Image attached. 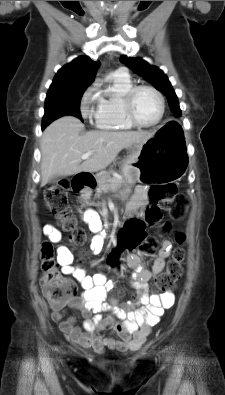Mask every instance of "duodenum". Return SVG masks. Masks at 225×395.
<instances>
[{"label": "duodenum", "mask_w": 225, "mask_h": 395, "mask_svg": "<svg viewBox=\"0 0 225 395\" xmlns=\"http://www.w3.org/2000/svg\"><path fill=\"white\" fill-rule=\"evenodd\" d=\"M94 185L90 175L79 173L74 177V186L77 191H83L92 188Z\"/></svg>", "instance_id": "obj_1"}]
</instances>
